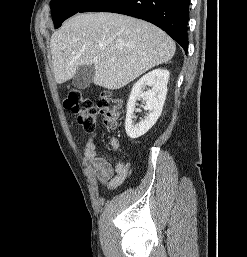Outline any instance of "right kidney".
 Segmentation results:
<instances>
[{"label": "right kidney", "instance_id": "obj_1", "mask_svg": "<svg viewBox=\"0 0 247 257\" xmlns=\"http://www.w3.org/2000/svg\"><path fill=\"white\" fill-rule=\"evenodd\" d=\"M169 74L166 69H155L145 74L133 86L127 103L125 119V130L131 139L144 135L160 117L166 99ZM146 87H151V89L144 91ZM138 98H142L146 102L144 109L148 110V114L135 124L132 119Z\"/></svg>", "mask_w": 247, "mask_h": 257}]
</instances>
